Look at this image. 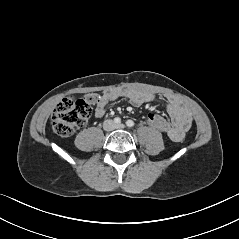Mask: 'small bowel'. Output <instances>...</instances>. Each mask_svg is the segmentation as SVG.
Returning <instances> with one entry per match:
<instances>
[{"mask_svg": "<svg viewBox=\"0 0 239 239\" xmlns=\"http://www.w3.org/2000/svg\"><path fill=\"white\" fill-rule=\"evenodd\" d=\"M127 98L133 105L140 106L144 103L158 102V97L149 91L135 88H122L104 91L99 95L95 106V116L101 118L106 112V106L110 101L118 98ZM165 108L171 119L168 131L164 132L170 140L181 141L192 124V117L184 105L174 96H165Z\"/></svg>", "mask_w": 239, "mask_h": 239, "instance_id": "obj_1", "label": "small bowel"}]
</instances>
